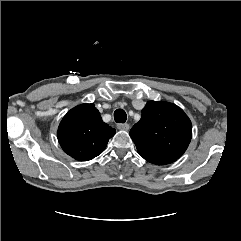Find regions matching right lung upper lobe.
Masks as SVG:
<instances>
[{
	"instance_id": "obj_1",
	"label": "right lung upper lobe",
	"mask_w": 241,
	"mask_h": 241,
	"mask_svg": "<svg viewBox=\"0 0 241 241\" xmlns=\"http://www.w3.org/2000/svg\"><path fill=\"white\" fill-rule=\"evenodd\" d=\"M116 133L102 121L94 104H81L62 119L58 141L65 153L79 161H88L101 154Z\"/></svg>"
}]
</instances>
